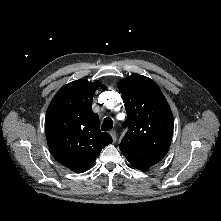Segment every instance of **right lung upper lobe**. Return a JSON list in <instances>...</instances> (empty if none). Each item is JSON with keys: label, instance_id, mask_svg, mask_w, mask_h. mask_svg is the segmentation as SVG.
I'll use <instances>...</instances> for the list:
<instances>
[{"label": "right lung upper lobe", "instance_id": "obj_1", "mask_svg": "<svg viewBox=\"0 0 221 221\" xmlns=\"http://www.w3.org/2000/svg\"><path fill=\"white\" fill-rule=\"evenodd\" d=\"M99 83L79 79L64 85L51 101L45 119L47 143L53 157L75 173L88 170L100 151L112 143L100 131L91 105Z\"/></svg>", "mask_w": 221, "mask_h": 221}]
</instances>
